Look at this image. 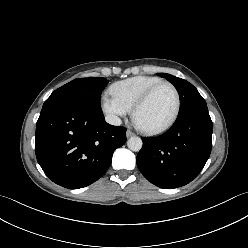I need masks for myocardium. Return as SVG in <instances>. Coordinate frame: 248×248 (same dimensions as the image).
<instances>
[{
  "label": "myocardium",
  "instance_id": "f54148a6",
  "mask_svg": "<svg viewBox=\"0 0 248 248\" xmlns=\"http://www.w3.org/2000/svg\"><path fill=\"white\" fill-rule=\"evenodd\" d=\"M162 86H169L174 92L175 100H176L174 112H173L172 116L170 117V119L166 123H164L163 125L158 126V127H153V128L144 127L138 123L137 114H138L139 110L151 98V96L154 94V92ZM180 107H181V98H180V94H179V91L176 88V86L169 81H160V82L154 84L153 86H151L148 90H146L142 94V96L136 101L135 105L132 108V118H133L135 125L137 126V128L140 131H142L143 133L148 134V135H157V134H161V133L167 131L175 123V121L179 115V112H180Z\"/></svg>",
  "mask_w": 248,
  "mask_h": 248
}]
</instances>
